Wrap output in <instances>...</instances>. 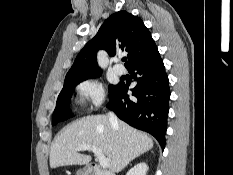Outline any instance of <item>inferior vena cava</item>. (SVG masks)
<instances>
[{
    "label": "inferior vena cava",
    "instance_id": "602c4592",
    "mask_svg": "<svg viewBox=\"0 0 233 175\" xmlns=\"http://www.w3.org/2000/svg\"><path fill=\"white\" fill-rule=\"evenodd\" d=\"M108 118H109V121L112 125H117L118 124V119L116 117V115L113 113V112H110L108 114Z\"/></svg>",
    "mask_w": 233,
    "mask_h": 175
}]
</instances>
